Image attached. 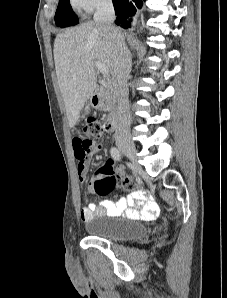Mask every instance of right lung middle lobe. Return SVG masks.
<instances>
[{"label": "right lung middle lobe", "mask_w": 227, "mask_h": 298, "mask_svg": "<svg viewBox=\"0 0 227 298\" xmlns=\"http://www.w3.org/2000/svg\"><path fill=\"white\" fill-rule=\"evenodd\" d=\"M55 22L57 26L67 27L79 23L77 16L74 14L69 0H59L58 8L55 14Z\"/></svg>", "instance_id": "obj_1"}]
</instances>
